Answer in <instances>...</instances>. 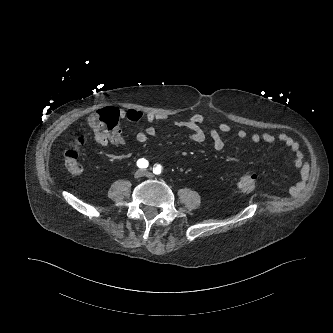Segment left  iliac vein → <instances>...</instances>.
I'll use <instances>...</instances> for the list:
<instances>
[{
  "mask_svg": "<svg viewBox=\"0 0 333 333\" xmlns=\"http://www.w3.org/2000/svg\"><path fill=\"white\" fill-rule=\"evenodd\" d=\"M143 173L148 178H154V175L151 172H149L148 170H143Z\"/></svg>",
  "mask_w": 333,
  "mask_h": 333,
  "instance_id": "4c4485c4",
  "label": "left iliac vein"
}]
</instances>
